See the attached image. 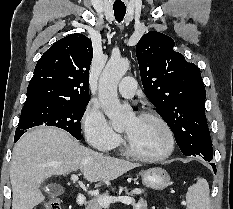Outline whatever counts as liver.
Here are the masks:
<instances>
[{
    "instance_id": "1",
    "label": "liver",
    "mask_w": 233,
    "mask_h": 209,
    "mask_svg": "<svg viewBox=\"0 0 233 209\" xmlns=\"http://www.w3.org/2000/svg\"><path fill=\"white\" fill-rule=\"evenodd\" d=\"M136 167L81 145L61 129L38 127L27 132L13 149L12 209H33L43 202L40 185L51 176L80 170L89 182L111 181Z\"/></svg>"
}]
</instances>
